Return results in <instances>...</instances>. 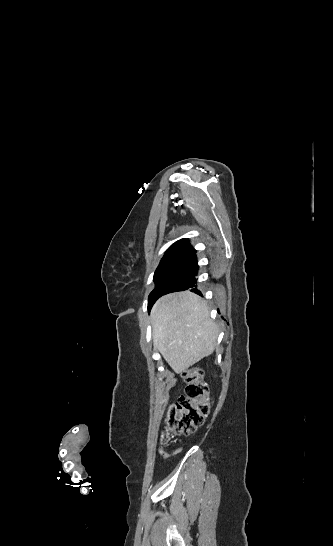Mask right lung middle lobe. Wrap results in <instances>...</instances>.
Here are the masks:
<instances>
[{"label":"right lung middle lobe","instance_id":"dd1d6c3e","mask_svg":"<svg viewBox=\"0 0 333 546\" xmlns=\"http://www.w3.org/2000/svg\"><path fill=\"white\" fill-rule=\"evenodd\" d=\"M187 252L184 251H167L162 258L159 266L157 267L154 274V281L156 287L149 295V301L155 296L157 285L161 277L169 270L173 265H175Z\"/></svg>","mask_w":333,"mask_h":546}]
</instances>
